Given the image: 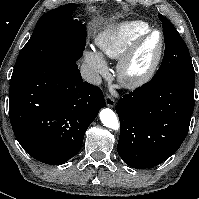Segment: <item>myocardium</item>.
I'll return each mask as SVG.
<instances>
[{
	"label": "myocardium",
	"instance_id": "myocardium-1",
	"mask_svg": "<svg viewBox=\"0 0 199 199\" xmlns=\"http://www.w3.org/2000/svg\"><path fill=\"white\" fill-rule=\"evenodd\" d=\"M154 33L159 34V46L150 65L141 72H133L132 64L141 45ZM165 41L163 33L158 29H150L136 39L120 58L117 66L119 80L128 88H136L149 82L155 75L164 53Z\"/></svg>",
	"mask_w": 199,
	"mask_h": 199
}]
</instances>
